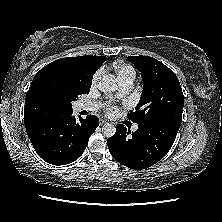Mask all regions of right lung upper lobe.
I'll use <instances>...</instances> for the list:
<instances>
[{
    "instance_id": "right-lung-upper-lobe-1",
    "label": "right lung upper lobe",
    "mask_w": 222,
    "mask_h": 222,
    "mask_svg": "<svg viewBox=\"0 0 222 222\" xmlns=\"http://www.w3.org/2000/svg\"><path fill=\"white\" fill-rule=\"evenodd\" d=\"M105 56L84 55L61 58L44 66L34 77L25 98L24 123L29 127L45 118L70 112L71 102L56 94L63 84L91 86L92 76L105 62Z\"/></svg>"
}]
</instances>
